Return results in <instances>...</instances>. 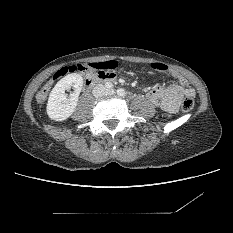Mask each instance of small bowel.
I'll list each match as a JSON object with an SVG mask.
<instances>
[{
	"label": "small bowel",
	"instance_id": "c3829d8e",
	"mask_svg": "<svg viewBox=\"0 0 233 233\" xmlns=\"http://www.w3.org/2000/svg\"><path fill=\"white\" fill-rule=\"evenodd\" d=\"M119 67V63L116 59H108L100 62H92L88 64V69L96 70L108 74L110 81L116 79V70ZM172 76L177 80L175 84H150V90L147 93L148 100L161 108L166 116L174 114L180 105V99L183 94L194 96L192 88L185 89L182 86V81L187 80L176 70L172 69Z\"/></svg>",
	"mask_w": 233,
	"mask_h": 233
}]
</instances>
